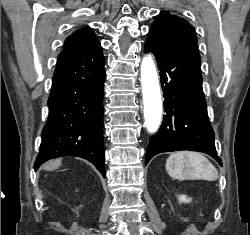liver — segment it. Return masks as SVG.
<instances>
[{
    "instance_id": "1",
    "label": "liver",
    "mask_w": 250,
    "mask_h": 235,
    "mask_svg": "<svg viewBox=\"0 0 250 235\" xmlns=\"http://www.w3.org/2000/svg\"><path fill=\"white\" fill-rule=\"evenodd\" d=\"M59 166H61V160L60 159L54 160V161L50 162L49 164H46L45 166H43V169L51 171V170L57 169Z\"/></svg>"
}]
</instances>
